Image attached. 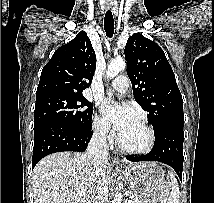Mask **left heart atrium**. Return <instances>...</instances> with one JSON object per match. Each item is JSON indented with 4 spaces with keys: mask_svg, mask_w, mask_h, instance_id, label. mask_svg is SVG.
Wrapping results in <instances>:
<instances>
[{
    "mask_svg": "<svg viewBox=\"0 0 214 203\" xmlns=\"http://www.w3.org/2000/svg\"><path fill=\"white\" fill-rule=\"evenodd\" d=\"M103 113L107 121L121 134L133 123L138 121L136 110L129 103L120 105L105 104Z\"/></svg>",
    "mask_w": 214,
    "mask_h": 203,
    "instance_id": "obj_1",
    "label": "left heart atrium"
}]
</instances>
